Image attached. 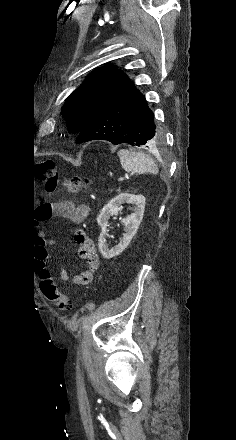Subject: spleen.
Instances as JSON below:
<instances>
[{
    "label": "spleen",
    "mask_w": 236,
    "mask_h": 440,
    "mask_svg": "<svg viewBox=\"0 0 236 440\" xmlns=\"http://www.w3.org/2000/svg\"><path fill=\"white\" fill-rule=\"evenodd\" d=\"M117 154L122 168L127 172L135 174L158 173L157 165L149 155L143 152L120 149Z\"/></svg>",
    "instance_id": "spleen-1"
}]
</instances>
